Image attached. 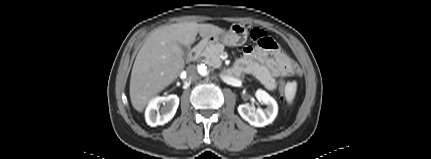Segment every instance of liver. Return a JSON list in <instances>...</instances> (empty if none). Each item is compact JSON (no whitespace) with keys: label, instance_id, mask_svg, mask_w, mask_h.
<instances>
[{"label":"liver","instance_id":"1","mask_svg":"<svg viewBox=\"0 0 431 159\" xmlns=\"http://www.w3.org/2000/svg\"><path fill=\"white\" fill-rule=\"evenodd\" d=\"M224 32L213 24L178 23L153 31L139 50L130 78L132 106L142 112L147 104L173 83L185 67L180 45L190 47L199 35L207 40Z\"/></svg>","mask_w":431,"mask_h":159}]
</instances>
